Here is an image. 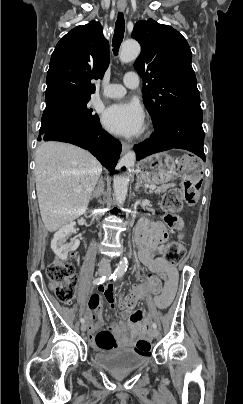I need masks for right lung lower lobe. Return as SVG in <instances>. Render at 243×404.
<instances>
[{
	"instance_id": "1",
	"label": "right lung lower lobe",
	"mask_w": 243,
	"mask_h": 404,
	"mask_svg": "<svg viewBox=\"0 0 243 404\" xmlns=\"http://www.w3.org/2000/svg\"><path fill=\"white\" fill-rule=\"evenodd\" d=\"M41 140L71 143L89 150L110 172H114L121 153V143L104 131L100 122L64 120L43 134Z\"/></svg>"
}]
</instances>
